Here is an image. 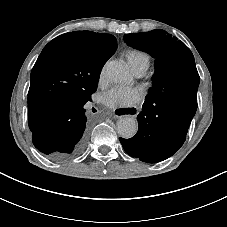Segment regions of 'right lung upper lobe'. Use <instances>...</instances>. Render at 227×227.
I'll return each instance as SVG.
<instances>
[{
    "label": "right lung upper lobe",
    "mask_w": 227,
    "mask_h": 227,
    "mask_svg": "<svg viewBox=\"0 0 227 227\" xmlns=\"http://www.w3.org/2000/svg\"><path fill=\"white\" fill-rule=\"evenodd\" d=\"M116 48L113 35L92 31L65 33L44 47L31 72L28 92L33 134L52 123L64 102L90 94L93 78Z\"/></svg>",
    "instance_id": "1"
}]
</instances>
